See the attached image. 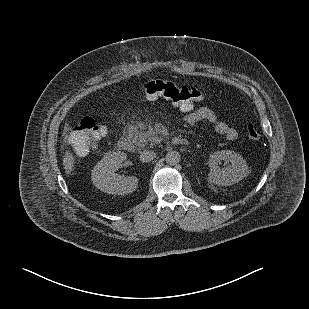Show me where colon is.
<instances>
[{
  "label": "colon",
  "instance_id": "colon-1",
  "mask_svg": "<svg viewBox=\"0 0 309 309\" xmlns=\"http://www.w3.org/2000/svg\"><path fill=\"white\" fill-rule=\"evenodd\" d=\"M142 92L147 98L155 99L165 97L173 103L186 106L194 105L203 99L202 91L194 86H178L172 82L153 80L142 86ZM106 125L92 118L82 119L77 127L72 130V140L78 154H83L81 148L88 144H96L101 136L106 133ZM247 135L253 140L260 139V132L254 123L247 126Z\"/></svg>",
  "mask_w": 309,
  "mask_h": 309
}]
</instances>
